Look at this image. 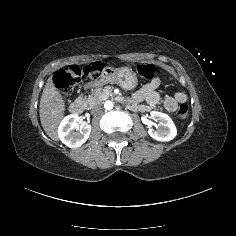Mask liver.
I'll return each mask as SVG.
<instances>
[{"label":"liver","instance_id":"obj_1","mask_svg":"<svg viewBox=\"0 0 236 236\" xmlns=\"http://www.w3.org/2000/svg\"><path fill=\"white\" fill-rule=\"evenodd\" d=\"M66 111L65 97L55 86L52 76L45 84L39 106L41 126L52 140L59 142V127Z\"/></svg>","mask_w":236,"mask_h":236}]
</instances>
